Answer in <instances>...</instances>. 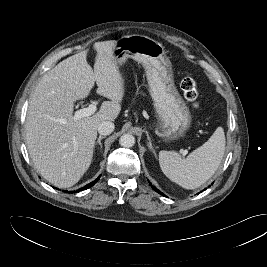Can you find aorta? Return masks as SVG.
Segmentation results:
<instances>
[{"instance_id":"762f6f07","label":"aorta","mask_w":267,"mask_h":267,"mask_svg":"<svg viewBox=\"0 0 267 267\" xmlns=\"http://www.w3.org/2000/svg\"><path fill=\"white\" fill-rule=\"evenodd\" d=\"M119 143L121 146L129 148L135 144V138L131 134H123L119 139Z\"/></svg>"}]
</instances>
